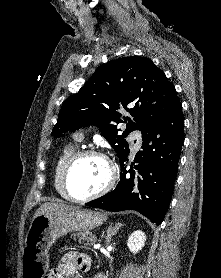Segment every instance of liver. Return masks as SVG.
Masks as SVG:
<instances>
[{
  "mask_svg": "<svg viewBox=\"0 0 221 278\" xmlns=\"http://www.w3.org/2000/svg\"><path fill=\"white\" fill-rule=\"evenodd\" d=\"M76 209L75 207L62 204V203H43L36 211L35 216L45 214V213H65L69 210ZM34 216V217H35Z\"/></svg>",
  "mask_w": 221,
  "mask_h": 278,
  "instance_id": "6515ba94",
  "label": "liver"
}]
</instances>
